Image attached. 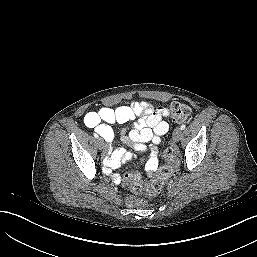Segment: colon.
<instances>
[{
    "instance_id": "obj_1",
    "label": "colon",
    "mask_w": 257,
    "mask_h": 257,
    "mask_svg": "<svg viewBox=\"0 0 257 257\" xmlns=\"http://www.w3.org/2000/svg\"><path fill=\"white\" fill-rule=\"evenodd\" d=\"M171 118L176 122L187 121L192 113L191 108L180 102H173L168 108ZM165 165L158 171L156 176L152 178L148 183L144 184L141 181L140 175L136 172L128 174L125 178V183L136 194L145 193L148 196H155L163 188L165 180L173 172L178 163V158L173 149H168L165 153ZM137 205H144L145 200L137 198L134 201Z\"/></svg>"
}]
</instances>
